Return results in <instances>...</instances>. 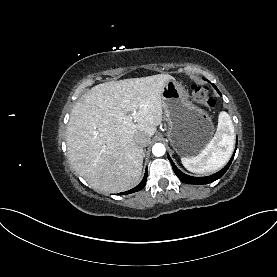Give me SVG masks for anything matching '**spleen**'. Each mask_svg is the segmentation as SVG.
Segmentation results:
<instances>
[{
	"instance_id": "spleen-1",
	"label": "spleen",
	"mask_w": 277,
	"mask_h": 277,
	"mask_svg": "<svg viewBox=\"0 0 277 277\" xmlns=\"http://www.w3.org/2000/svg\"><path fill=\"white\" fill-rule=\"evenodd\" d=\"M234 125L228 113L222 111L218 117L216 133L208 145L197 156L182 157L183 166L193 173L214 172L230 159L234 147Z\"/></svg>"
}]
</instances>
